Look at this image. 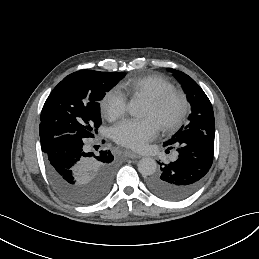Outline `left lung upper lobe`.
<instances>
[{
	"label": "left lung upper lobe",
	"instance_id": "1",
	"mask_svg": "<svg viewBox=\"0 0 259 259\" xmlns=\"http://www.w3.org/2000/svg\"><path fill=\"white\" fill-rule=\"evenodd\" d=\"M168 70L173 72L174 76L181 83L187 95V100L191 105V114L189 115V123L186 126H182L165 144L176 145L182 132L187 129L210 130L213 134L215 130L213 108L204 91L185 73L171 68Z\"/></svg>",
	"mask_w": 259,
	"mask_h": 259
}]
</instances>
